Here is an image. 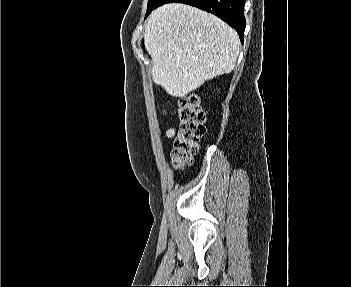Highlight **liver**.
I'll return each instance as SVG.
<instances>
[{"label": "liver", "instance_id": "obj_1", "mask_svg": "<svg viewBox=\"0 0 351 287\" xmlns=\"http://www.w3.org/2000/svg\"><path fill=\"white\" fill-rule=\"evenodd\" d=\"M153 81L174 97H185L205 81L230 73L239 55L237 32L195 7L169 3L155 9L144 32Z\"/></svg>", "mask_w": 351, "mask_h": 287}]
</instances>
